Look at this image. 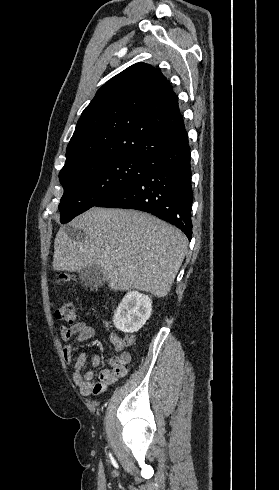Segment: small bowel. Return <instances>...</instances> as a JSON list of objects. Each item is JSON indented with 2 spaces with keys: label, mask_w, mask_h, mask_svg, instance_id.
Masks as SVG:
<instances>
[{
  "label": "small bowel",
  "mask_w": 279,
  "mask_h": 490,
  "mask_svg": "<svg viewBox=\"0 0 279 490\" xmlns=\"http://www.w3.org/2000/svg\"><path fill=\"white\" fill-rule=\"evenodd\" d=\"M58 331L63 341L70 342L64 349V359L67 364L73 366V381L83 395H98L128 373L129 367L133 363V355L124 350V343L121 338L117 336L111 338L112 345L118 355L109 359V368L102 370L99 378L95 379L92 370L82 373L86 362V353L80 352L77 357L73 355V350L77 344L95 337V328L84 321H80L69 328L61 326ZM100 362V356L93 354V367H98Z\"/></svg>",
  "instance_id": "obj_1"
}]
</instances>
